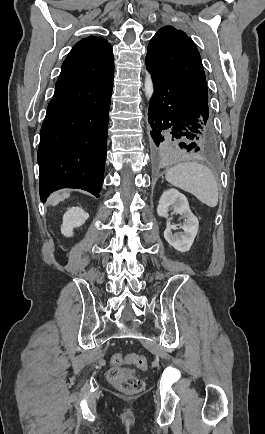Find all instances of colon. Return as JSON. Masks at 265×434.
<instances>
[{"instance_id": "obj_1", "label": "colon", "mask_w": 265, "mask_h": 434, "mask_svg": "<svg viewBox=\"0 0 265 434\" xmlns=\"http://www.w3.org/2000/svg\"><path fill=\"white\" fill-rule=\"evenodd\" d=\"M111 368L106 374L109 383L122 391L139 392L144 388V382L135 374L136 369L146 370L148 362L145 358L129 354L114 356L111 359ZM126 365V367H120Z\"/></svg>"}]
</instances>
